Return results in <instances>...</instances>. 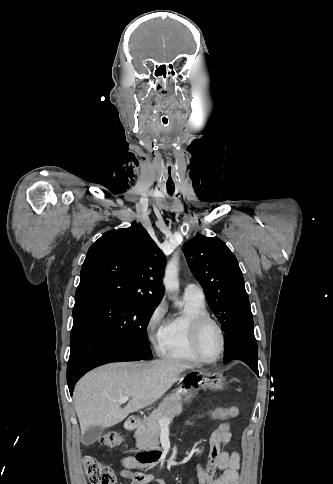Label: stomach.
Segmentation results:
<instances>
[{
	"label": "stomach",
	"mask_w": 333,
	"mask_h": 484,
	"mask_svg": "<svg viewBox=\"0 0 333 484\" xmlns=\"http://www.w3.org/2000/svg\"><path fill=\"white\" fill-rule=\"evenodd\" d=\"M192 379L185 380L178 387L175 394L183 400H190L199 389L210 388L221 390L224 387V377L221 373H204L195 371Z\"/></svg>",
	"instance_id": "1"
}]
</instances>
